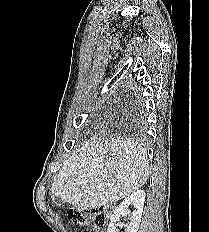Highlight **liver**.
Wrapping results in <instances>:
<instances>
[{
  "instance_id": "6515ba94",
  "label": "liver",
  "mask_w": 209,
  "mask_h": 232,
  "mask_svg": "<svg viewBox=\"0 0 209 232\" xmlns=\"http://www.w3.org/2000/svg\"><path fill=\"white\" fill-rule=\"evenodd\" d=\"M149 173L146 149L138 141L94 138L64 162L50 193L75 208L92 209L128 197Z\"/></svg>"
}]
</instances>
